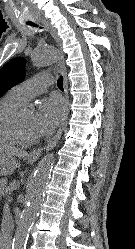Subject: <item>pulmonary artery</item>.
I'll use <instances>...</instances> for the list:
<instances>
[{"mask_svg": "<svg viewBox=\"0 0 135 249\" xmlns=\"http://www.w3.org/2000/svg\"><path fill=\"white\" fill-rule=\"evenodd\" d=\"M52 84L53 77L50 74L40 73L15 86L12 89V93L20 100L26 102L46 91Z\"/></svg>", "mask_w": 135, "mask_h": 249, "instance_id": "obj_1", "label": "pulmonary artery"}]
</instances>
